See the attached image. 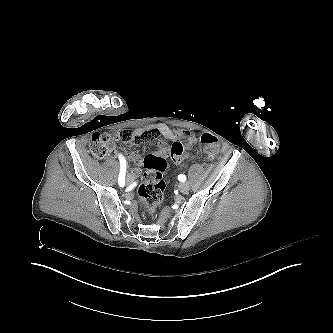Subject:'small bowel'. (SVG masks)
<instances>
[{
	"mask_svg": "<svg viewBox=\"0 0 333 333\" xmlns=\"http://www.w3.org/2000/svg\"><path fill=\"white\" fill-rule=\"evenodd\" d=\"M145 130H156L157 132H159L160 136H163L166 139H169L171 141L176 142L178 139H184L186 141V145L188 148L193 146L192 143V135L189 134L188 131H184V130H179V129H172L169 126H167L164 123H156V124H152L149 125L148 127H146L143 131ZM142 132V131H141ZM110 157L112 159H116L118 157V154L115 151H110ZM122 158H125L123 155L121 156ZM187 157H177V158H172V160L176 163V164H182L185 160V158ZM133 159L135 161L139 160L138 156H133ZM141 175V170L138 167H134L132 168L127 176H126V181L129 185H134L136 183V179Z\"/></svg>",
	"mask_w": 333,
	"mask_h": 333,
	"instance_id": "c3829d8e",
	"label": "small bowel"
}]
</instances>
